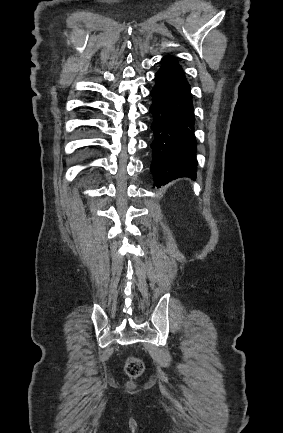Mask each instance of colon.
Returning a JSON list of instances; mask_svg holds the SVG:
<instances>
[{"label": "colon", "mask_w": 283, "mask_h": 433, "mask_svg": "<svg viewBox=\"0 0 283 433\" xmlns=\"http://www.w3.org/2000/svg\"><path fill=\"white\" fill-rule=\"evenodd\" d=\"M144 366L140 359L136 357H130L127 359L125 364V371L127 375L134 379L141 375L143 372Z\"/></svg>", "instance_id": "obj_1"}]
</instances>
